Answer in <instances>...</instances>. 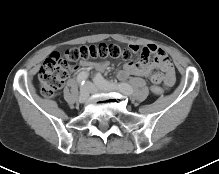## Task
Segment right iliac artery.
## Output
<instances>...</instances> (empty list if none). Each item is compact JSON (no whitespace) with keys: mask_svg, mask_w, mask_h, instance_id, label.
Listing matches in <instances>:
<instances>
[{"mask_svg":"<svg viewBox=\"0 0 219 174\" xmlns=\"http://www.w3.org/2000/svg\"><path fill=\"white\" fill-rule=\"evenodd\" d=\"M88 78V73L87 72H81L79 73V75L77 76V82L81 85H83L86 81V79Z\"/></svg>","mask_w":219,"mask_h":174,"instance_id":"1","label":"right iliac artery"}]
</instances>
